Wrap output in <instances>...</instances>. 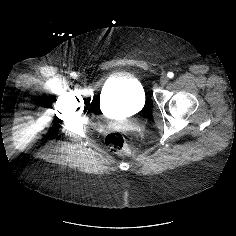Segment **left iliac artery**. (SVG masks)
I'll list each match as a JSON object with an SVG mask.
<instances>
[{
  "label": "left iliac artery",
  "mask_w": 236,
  "mask_h": 236,
  "mask_svg": "<svg viewBox=\"0 0 236 236\" xmlns=\"http://www.w3.org/2000/svg\"><path fill=\"white\" fill-rule=\"evenodd\" d=\"M167 76H168L169 78H173V77H174V73H173V72H168Z\"/></svg>",
  "instance_id": "44dca946"
}]
</instances>
